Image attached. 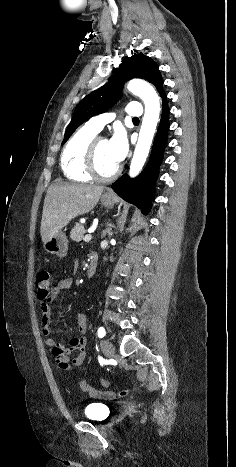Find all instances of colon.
Instances as JSON below:
<instances>
[{"instance_id": "5ec220e1", "label": "colon", "mask_w": 236, "mask_h": 467, "mask_svg": "<svg viewBox=\"0 0 236 467\" xmlns=\"http://www.w3.org/2000/svg\"><path fill=\"white\" fill-rule=\"evenodd\" d=\"M53 291V280L52 276L47 271H41L37 279V297L40 301H46L50 298ZM80 386L83 391L89 393L92 396L102 397L107 399H115L120 397H125L129 394L128 389H123L117 392L107 391L101 392L97 391L91 386H89L84 380L81 381Z\"/></svg>"}]
</instances>
